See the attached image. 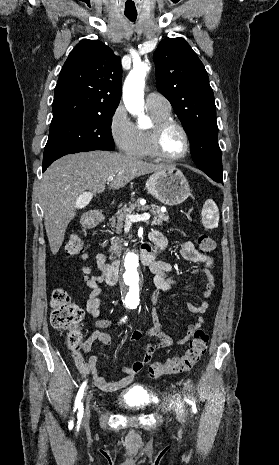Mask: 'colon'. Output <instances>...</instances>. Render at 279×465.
<instances>
[{"instance_id":"colon-1","label":"colon","mask_w":279,"mask_h":465,"mask_svg":"<svg viewBox=\"0 0 279 465\" xmlns=\"http://www.w3.org/2000/svg\"><path fill=\"white\" fill-rule=\"evenodd\" d=\"M197 244L205 253L212 251L215 247L214 240L206 233L198 235ZM65 254L67 257L84 256L85 243L78 235H72L69 238ZM50 305L52 309L51 325L66 333V343L72 355L79 353L82 343L80 322L83 319V310L72 302L71 295L63 288H57L52 292ZM208 339V334L204 330L198 329L183 355L170 358L162 363L151 364L148 368L149 376L156 379L164 375L190 371L205 354Z\"/></svg>"}]
</instances>
